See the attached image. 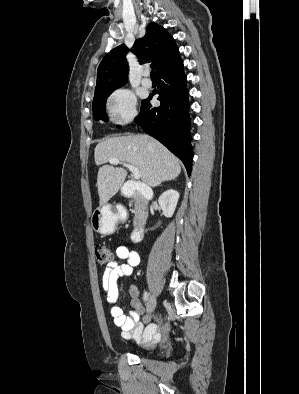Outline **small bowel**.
Wrapping results in <instances>:
<instances>
[{"mask_svg": "<svg viewBox=\"0 0 299 394\" xmlns=\"http://www.w3.org/2000/svg\"><path fill=\"white\" fill-rule=\"evenodd\" d=\"M130 245L131 243H128L116 247V259L125 262L112 261L106 266L102 273V288L106 293L107 302L111 305L110 314L115 325L121 329L122 337L135 340L144 346H154L167 338L169 328L160 321L156 324H149L147 327L144 326L143 323H148L150 317L144 316V308L139 299L137 286L130 285L128 287L130 310L127 315L115 305L118 298V279L130 275L133 268L140 263L139 254L132 250ZM141 318L143 322L140 321Z\"/></svg>", "mask_w": 299, "mask_h": 394, "instance_id": "c3829d8e", "label": "small bowel"}]
</instances>
